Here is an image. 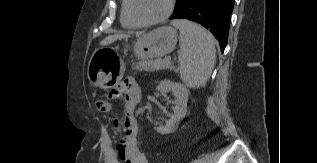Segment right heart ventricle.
<instances>
[{
    "mask_svg": "<svg viewBox=\"0 0 317 163\" xmlns=\"http://www.w3.org/2000/svg\"><path fill=\"white\" fill-rule=\"evenodd\" d=\"M127 5H128V0H122L120 22L124 28L134 29L137 27V25L131 20L129 16Z\"/></svg>",
    "mask_w": 317,
    "mask_h": 163,
    "instance_id": "obj_1",
    "label": "right heart ventricle"
}]
</instances>
